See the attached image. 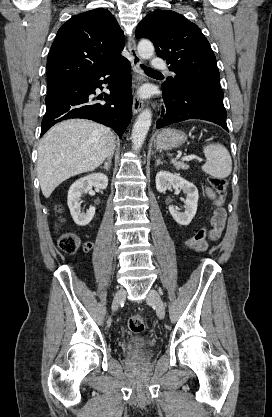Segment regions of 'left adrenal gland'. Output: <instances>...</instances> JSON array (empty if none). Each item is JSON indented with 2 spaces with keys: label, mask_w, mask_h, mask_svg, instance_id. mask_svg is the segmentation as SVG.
I'll use <instances>...</instances> for the list:
<instances>
[{
  "label": "left adrenal gland",
  "mask_w": 272,
  "mask_h": 417,
  "mask_svg": "<svg viewBox=\"0 0 272 417\" xmlns=\"http://www.w3.org/2000/svg\"><path fill=\"white\" fill-rule=\"evenodd\" d=\"M162 164H163V162L161 161L160 158L156 159V166L162 165Z\"/></svg>",
  "instance_id": "1"
}]
</instances>
